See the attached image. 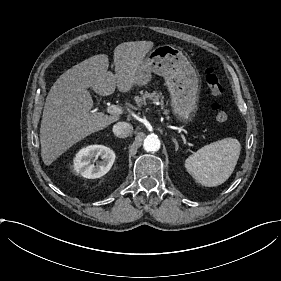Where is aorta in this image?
I'll return each instance as SVG.
<instances>
[{"instance_id":"1","label":"aorta","mask_w":281,"mask_h":281,"mask_svg":"<svg viewBox=\"0 0 281 281\" xmlns=\"http://www.w3.org/2000/svg\"><path fill=\"white\" fill-rule=\"evenodd\" d=\"M160 140L156 135H148L144 139L143 147L147 152H156L160 149Z\"/></svg>"}]
</instances>
